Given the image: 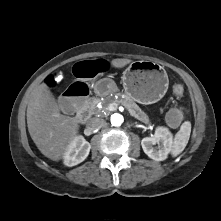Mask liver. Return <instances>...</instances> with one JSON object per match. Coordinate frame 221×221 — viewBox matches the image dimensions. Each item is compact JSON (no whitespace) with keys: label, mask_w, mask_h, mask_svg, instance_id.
<instances>
[{"label":"liver","mask_w":221,"mask_h":221,"mask_svg":"<svg viewBox=\"0 0 221 221\" xmlns=\"http://www.w3.org/2000/svg\"><path fill=\"white\" fill-rule=\"evenodd\" d=\"M130 62V59H113L111 65L122 68ZM78 123L76 117L60 113L47 84L42 83L32 91L27 107V126L32 140L45 157L53 161L62 159L78 132Z\"/></svg>","instance_id":"liver-1"}]
</instances>
